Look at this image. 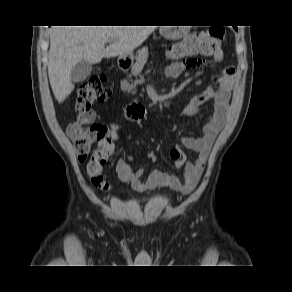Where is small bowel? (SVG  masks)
Segmentation results:
<instances>
[{
  "instance_id": "obj_1",
  "label": "small bowel",
  "mask_w": 292,
  "mask_h": 292,
  "mask_svg": "<svg viewBox=\"0 0 292 292\" xmlns=\"http://www.w3.org/2000/svg\"><path fill=\"white\" fill-rule=\"evenodd\" d=\"M223 51L218 48L213 53L215 64L222 62ZM204 64L203 59H186L171 63L165 69V76L175 79L185 69L199 68ZM235 82V69L227 67L223 70L222 76L217 79L216 85H210L203 93L195 96L183 110L184 115L194 116L201 110L203 103L209 99L214 100L210 115L203 129V135L198 138H185L182 143L185 148L195 152V161H186L184 155L175 160V166L183 168L182 178L160 170H152L145 174L143 170L135 171L130 162L131 155L126 159H120L116 164V173L122 182L129 183L133 189L143 191L157 187H168L184 194L191 193L198 184L207 161L208 153L222 127L224 126L231 97V91Z\"/></svg>"
}]
</instances>
